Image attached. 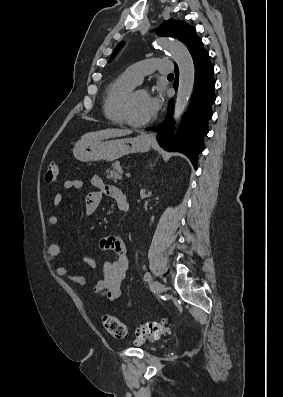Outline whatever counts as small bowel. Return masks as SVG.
<instances>
[{
	"mask_svg": "<svg viewBox=\"0 0 283 397\" xmlns=\"http://www.w3.org/2000/svg\"><path fill=\"white\" fill-rule=\"evenodd\" d=\"M93 190L88 193L85 199V212L87 216H92L97 211L102 197L104 195L113 199L120 208L123 202H128L125 193L116 186L107 185L100 176H93L91 178ZM84 183L81 179L67 180L64 183L65 189H81ZM64 200L62 193L55 194L53 198V205L58 207ZM51 226H58L60 220L58 216L51 215L48 218ZM101 248L111 251L115 254V259L110 262H105L102 266V277L92 287V292L99 294L110 302H115L123 295L122 281L125 278L128 269L127 250L124 241L117 236H107L101 241ZM61 254V246L59 244H50L47 248V257L50 262L54 263ZM83 263L89 267L95 268L97 262L91 257H82ZM55 272L58 276L64 277L67 280L83 286L86 283L85 278L70 270L66 266H56Z\"/></svg>",
	"mask_w": 283,
	"mask_h": 397,
	"instance_id": "obj_1",
	"label": "small bowel"
}]
</instances>
